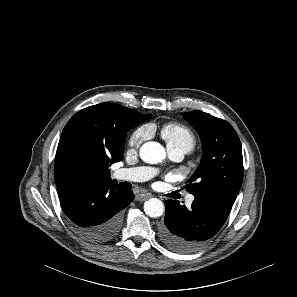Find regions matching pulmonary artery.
<instances>
[{
  "label": "pulmonary artery",
  "mask_w": 297,
  "mask_h": 297,
  "mask_svg": "<svg viewBox=\"0 0 297 297\" xmlns=\"http://www.w3.org/2000/svg\"><path fill=\"white\" fill-rule=\"evenodd\" d=\"M169 157L173 160H180L186 155L190 149L186 146L167 147ZM156 171L151 167H132V168H121L114 172V177L118 180L123 181H147L155 175ZM188 203L194 200L193 195H189L186 198Z\"/></svg>",
  "instance_id": "pulmonary-artery-1"
}]
</instances>
